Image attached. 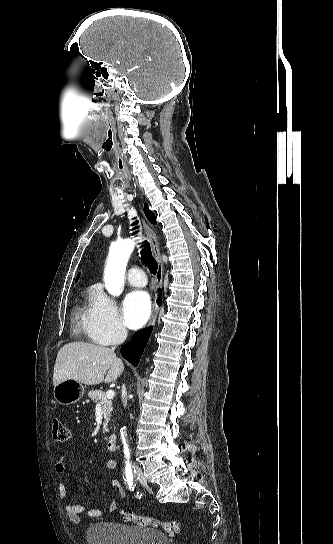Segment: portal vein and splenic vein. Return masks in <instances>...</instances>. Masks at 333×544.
I'll use <instances>...</instances> for the list:
<instances>
[{
  "label": "portal vein and splenic vein",
  "mask_w": 333,
  "mask_h": 544,
  "mask_svg": "<svg viewBox=\"0 0 333 544\" xmlns=\"http://www.w3.org/2000/svg\"><path fill=\"white\" fill-rule=\"evenodd\" d=\"M115 393L113 390H108L106 392V397L109 398V399H112L114 397Z\"/></svg>",
  "instance_id": "obj_1"
}]
</instances>
